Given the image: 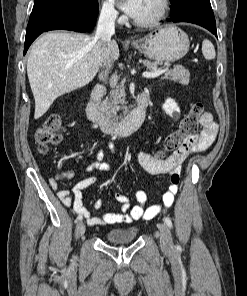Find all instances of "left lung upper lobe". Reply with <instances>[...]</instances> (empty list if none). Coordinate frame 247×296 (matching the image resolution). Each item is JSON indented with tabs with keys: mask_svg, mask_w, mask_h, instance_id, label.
<instances>
[{
	"mask_svg": "<svg viewBox=\"0 0 247 296\" xmlns=\"http://www.w3.org/2000/svg\"><path fill=\"white\" fill-rule=\"evenodd\" d=\"M170 1L172 3L170 13H173L183 8L190 0H170Z\"/></svg>",
	"mask_w": 247,
	"mask_h": 296,
	"instance_id": "left-lung-upper-lobe-1",
	"label": "left lung upper lobe"
}]
</instances>
